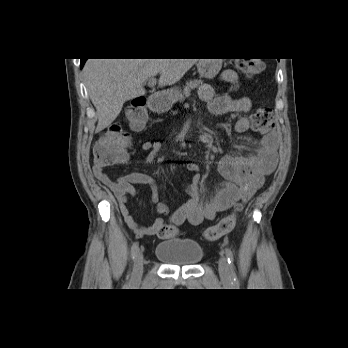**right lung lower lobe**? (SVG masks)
<instances>
[{
  "mask_svg": "<svg viewBox=\"0 0 348 348\" xmlns=\"http://www.w3.org/2000/svg\"><path fill=\"white\" fill-rule=\"evenodd\" d=\"M86 59H81L80 66L82 67L85 63Z\"/></svg>",
  "mask_w": 348,
  "mask_h": 348,
  "instance_id": "right-lung-lower-lobe-1",
  "label": "right lung lower lobe"
}]
</instances>
